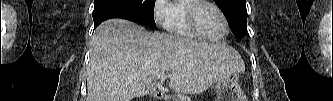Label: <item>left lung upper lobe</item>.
Here are the masks:
<instances>
[{"label":"left lung upper lobe","instance_id":"obj_1","mask_svg":"<svg viewBox=\"0 0 333 101\" xmlns=\"http://www.w3.org/2000/svg\"><path fill=\"white\" fill-rule=\"evenodd\" d=\"M228 20L233 33L239 37L247 34L246 0H214Z\"/></svg>","mask_w":333,"mask_h":101}]
</instances>
